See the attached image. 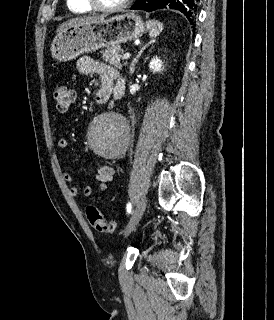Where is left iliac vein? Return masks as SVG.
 <instances>
[{
    "label": "left iliac vein",
    "instance_id": "4c4485c4",
    "mask_svg": "<svg viewBox=\"0 0 274 320\" xmlns=\"http://www.w3.org/2000/svg\"><path fill=\"white\" fill-rule=\"evenodd\" d=\"M146 206H147V199H146V197H143L137 203L136 208L132 213V216H131V218L127 224L126 230H125V236H128L136 228L138 222L140 221L141 217L144 214Z\"/></svg>",
    "mask_w": 274,
    "mask_h": 320
}]
</instances>
